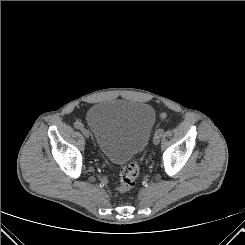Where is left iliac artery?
Listing matches in <instances>:
<instances>
[{"mask_svg":"<svg viewBox=\"0 0 245 245\" xmlns=\"http://www.w3.org/2000/svg\"><path fill=\"white\" fill-rule=\"evenodd\" d=\"M163 133H164V129L163 128H159V129H157L156 130V132H155V134H158V135H163Z\"/></svg>","mask_w":245,"mask_h":245,"instance_id":"obj_1","label":"left iliac artery"}]
</instances>
